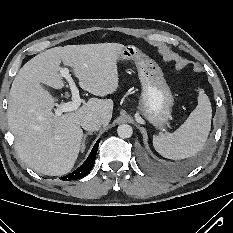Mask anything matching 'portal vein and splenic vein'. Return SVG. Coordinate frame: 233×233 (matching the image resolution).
Segmentation results:
<instances>
[{
  "instance_id": "18ae733b",
  "label": "portal vein and splenic vein",
  "mask_w": 233,
  "mask_h": 233,
  "mask_svg": "<svg viewBox=\"0 0 233 233\" xmlns=\"http://www.w3.org/2000/svg\"><path fill=\"white\" fill-rule=\"evenodd\" d=\"M60 75L62 77H64L69 82V86H70V89L72 92V101L61 104L55 110L56 116H60L64 112L75 111L79 108V106L81 104V99L79 96L78 88L76 87L75 82L73 81V79L71 78V76L69 74V69L68 68H61Z\"/></svg>"
}]
</instances>
